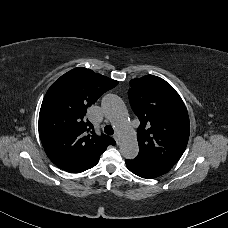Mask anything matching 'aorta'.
<instances>
[{
  "label": "aorta",
  "instance_id": "aorta-1",
  "mask_svg": "<svg viewBox=\"0 0 228 228\" xmlns=\"http://www.w3.org/2000/svg\"><path fill=\"white\" fill-rule=\"evenodd\" d=\"M102 108L118 132L122 156L127 159L135 158L139 152L137 135L128 121V113L124 102L114 94H107L102 99Z\"/></svg>",
  "mask_w": 228,
  "mask_h": 228
}]
</instances>
